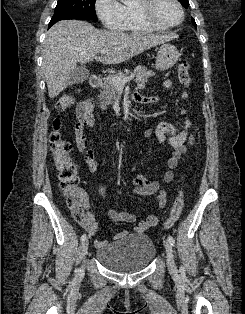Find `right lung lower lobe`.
<instances>
[{
    "label": "right lung lower lobe",
    "instance_id": "1",
    "mask_svg": "<svg viewBox=\"0 0 245 314\" xmlns=\"http://www.w3.org/2000/svg\"><path fill=\"white\" fill-rule=\"evenodd\" d=\"M53 24H55V23H51V22H50V23H49V27H51Z\"/></svg>",
    "mask_w": 245,
    "mask_h": 314
}]
</instances>
